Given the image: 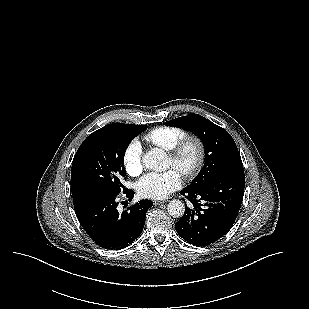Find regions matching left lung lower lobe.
Listing matches in <instances>:
<instances>
[{"instance_id": "0a47b994", "label": "left lung lower lobe", "mask_w": 309, "mask_h": 309, "mask_svg": "<svg viewBox=\"0 0 309 309\" xmlns=\"http://www.w3.org/2000/svg\"><path fill=\"white\" fill-rule=\"evenodd\" d=\"M244 184V171H237L215 177L196 188H184L180 193L193 207H186L176 223L177 233L195 246H207L221 239L238 215Z\"/></svg>"}]
</instances>
